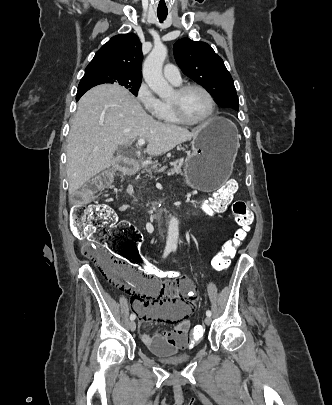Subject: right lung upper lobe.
<instances>
[{
  "instance_id": "right-lung-upper-lobe-1",
  "label": "right lung upper lobe",
  "mask_w": 332,
  "mask_h": 405,
  "mask_svg": "<svg viewBox=\"0 0 332 405\" xmlns=\"http://www.w3.org/2000/svg\"><path fill=\"white\" fill-rule=\"evenodd\" d=\"M141 46L133 33L116 35L96 52L85 72L109 70L142 78Z\"/></svg>"
}]
</instances>
